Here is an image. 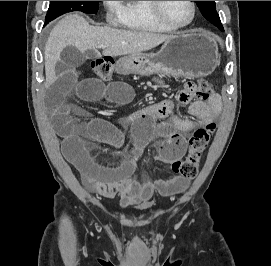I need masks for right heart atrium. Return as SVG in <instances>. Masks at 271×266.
<instances>
[{
    "label": "right heart atrium",
    "mask_w": 271,
    "mask_h": 266,
    "mask_svg": "<svg viewBox=\"0 0 271 266\" xmlns=\"http://www.w3.org/2000/svg\"><path fill=\"white\" fill-rule=\"evenodd\" d=\"M122 1H103V4L107 11V16L113 18L114 15L119 11Z\"/></svg>",
    "instance_id": "d8ad5b80"
}]
</instances>
